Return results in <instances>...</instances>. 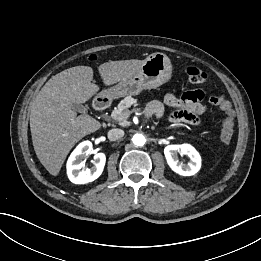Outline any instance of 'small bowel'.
Listing matches in <instances>:
<instances>
[{"label":"small bowel","instance_id":"1","mask_svg":"<svg viewBox=\"0 0 261 261\" xmlns=\"http://www.w3.org/2000/svg\"><path fill=\"white\" fill-rule=\"evenodd\" d=\"M204 92L202 90H192L185 92L181 98L168 95L165 103L175 111L172 114V120L176 122H185L191 125H198L200 117L206 111V107L202 104ZM148 111L157 116L163 113V105L158 101H153L148 105Z\"/></svg>","mask_w":261,"mask_h":261}]
</instances>
